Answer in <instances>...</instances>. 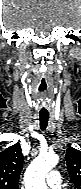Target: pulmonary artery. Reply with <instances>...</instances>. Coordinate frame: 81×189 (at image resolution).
Masks as SVG:
<instances>
[{
	"instance_id": "1",
	"label": "pulmonary artery",
	"mask_w": 81,
	"mask_h": 189,
	"mask_svg": "<svg viewBox=\"0 0 81 189\" xmlns=\"http://www.w3.org/2000/svg\"><path fill=\"white\" fill-rule=\"evenodd\" d=\"M46 182L52 189H61L62 179L57 171H51L46 177Z\"/></svg>"
}]
</instances>
